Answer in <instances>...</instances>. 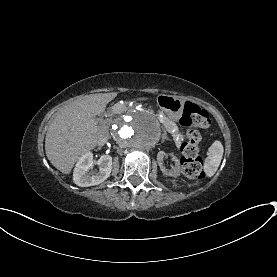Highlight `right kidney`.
Wrapping results in <instances>:
<instances>
[{
	"label": "right kidney",
	"instance_id": "right-kidney-1",
	"mask_svg": "<svg viewBox=\"0 0 277 277\" xmlns=\"http://www.w3.org/2000/svg\"><path fill=\"white\" fill-rule=\"evenodd\" d=\"M112 157L109 155H101L96 165L98 171L88 173L89 169H93L92 153L85 154L78 162L74 171V183L79 187H91L104 182L112 171Z\"/></svg>",
	"mask_w": 277,
	"mask_h": 277
}]
</instances>
